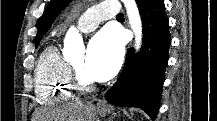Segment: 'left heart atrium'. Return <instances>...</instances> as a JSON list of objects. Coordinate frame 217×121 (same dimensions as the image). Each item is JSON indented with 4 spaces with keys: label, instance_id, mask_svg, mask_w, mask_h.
Returning a JSON list of instances; mask_svg holds the SVG:
<instances>
[{
    "label": "left heart atrium",
    "instance_id": "obj_1",
    "mask_svg": "<svg viewBox=\"0 0 217 121\" xmlns=\"http://www.w3.org/2000/svg\"><path fill=\"white\" fill-rule=\"evenodd\" d=\"M123 56L119 34L112 28H105L89 43L85 71L94 81H105L118 71Z\"/></svg>",
    "mask_w": 217,
    "mask_h": 121
}]
</instances>
